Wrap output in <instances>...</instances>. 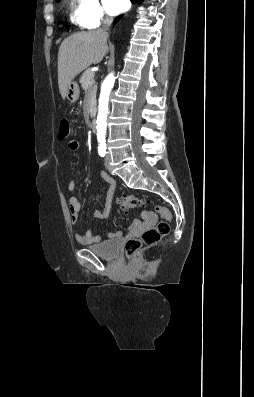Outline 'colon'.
I'll use <instances>...</instances> for the list:
<instances>
[{
  "label": "colon",
  "mask_w": 254,
  "mask_h": 397,
  "mask_svg": "<svg viewBox=\"0 0 254 397\" xmlns=\"http://www.w3.org/2000/svg\"><path fill=\"white\" fill-rule=\"evenodd\" d=\"M70 135V125L66 119H62L59 123V139L64 140ZM146 199L142 196L132 194H124L120 197L121 209L126 211L144 206ZM155 210L163 217L157 225L147 229L140 237H134L127 240L125 244V253L132 255L143 245H153L159 242L163 237L169 234L170 225L168 221L171 219V212L164 206H156Z\"/></svg>",
  "instance_id": "5ec220e1"
}]
</instances>
